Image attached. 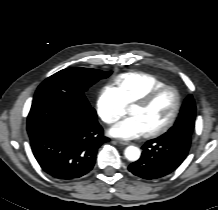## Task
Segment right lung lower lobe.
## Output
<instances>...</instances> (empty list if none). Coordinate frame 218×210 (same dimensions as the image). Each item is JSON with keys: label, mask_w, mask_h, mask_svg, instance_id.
Segmentation results:
<instances>
[{"label": "right lung lower lobe", "mask_w": 218, "mask_h": 210, "mask_svg": "<svg viewBox=\"0 0 218 210\" xmlns=\"http://www.w3.org/2000/svg\"><path fill=\"white\" fill-rule=\"evenodd\" d=\"M92 108L45 99L32 103L27 132L33 154L50 176L71 180L94 166L98 148L109 138Z\"/></svg>", "instance_id": "right-lung-lower-lobe-1"}]
</instances>
